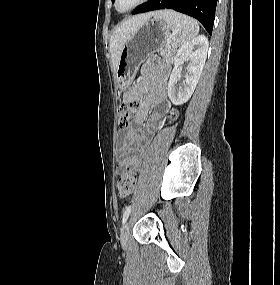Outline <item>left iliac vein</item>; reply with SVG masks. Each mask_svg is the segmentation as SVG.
Returning <instances> with one entry per match:
<instances>
[{
    "label": "left iliac vein",
    "instance_id": "1",
    "mask_svg": "<svg viewBox=\"0 0 280 285\" xmlns=\"http://www.w3.org/2000/svg\"><path fill=\"white\" fill-rule=\"evenodd\" d=\"M129 223L127 222L126 224L123 225L121 228V235H120V241L122 245H126L129 239Z\"/></svg>",
    "mask_w": 280,
    "mask_h": 285
}]
</instances>
